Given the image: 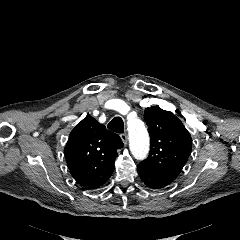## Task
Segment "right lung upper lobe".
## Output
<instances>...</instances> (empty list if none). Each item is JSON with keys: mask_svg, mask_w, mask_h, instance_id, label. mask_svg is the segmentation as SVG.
Listing matches in <instances>:
<instances>
[{"mask_svg": "<svg viewBox=\"0 0 240 240\" xmlns=\"http://www.w3.org/2000/svg\"><path fill=\"white\" fill-rule=\"evenodd\" d=\"M122 147L119 135L87 116L70 133L64 154L76 182L95 189L111 176L117 150Z\"/></svg>", "mask_w": 240, "mask_h": 240, "instance_id": "obj_1", "label": "right lung upper lobe"}]
</instances>
